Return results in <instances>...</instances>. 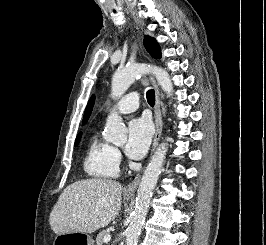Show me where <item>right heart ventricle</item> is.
Here are the masks:
<instances>
[{
	"label": "right heart ventricle",
	"mask_w": 266,
	"mask_h": 245,
	"mask_svg": "<svg viewBox=\"0 0 266 245\" xmlns=\"http://www.w3.org/2000/svg\"><path fill=\"white\" fill-rule=\"evenodd\" d=\"M83 168L87 176L96 180L109 181L119 177L120 167L114 148L102 140L97 132L87 141Z\"/></svg>",
	"instance_id": "1"
}]
</instances>
